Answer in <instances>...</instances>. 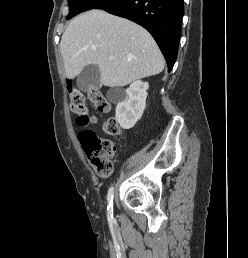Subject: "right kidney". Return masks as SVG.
<instances>
[{
	"label": "right kidney",
	"instance_id": "1",
	"mask_svg": "<svg viewBox=\"0 0 248 258\" xmlns=\"http://www.w3.org/2000/svg\"><path fill=\"white\" fill-rule=\"evenodd\" d=\"M149 84L137 80L125 91L114 89L108 92V98L117 102L116 121L123 129L132 128L141 118L146 105Z\"/></svg>",
	"mask_w": 248,
	"mask_h": 258
}]
</instances>
